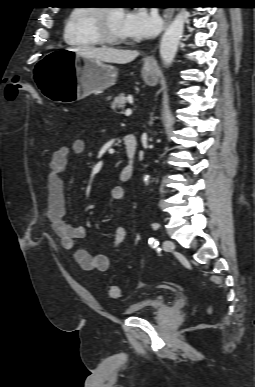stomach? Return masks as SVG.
<instances>
[{
    "label": "stomach",
    "instance_id": "0dacf381",
    "mask_svg": "<svg viewBox=\"0 0 255 387\" xmlns=\"http://www.w3.org/2000/svg\"><path fill=\"white\" fill-rule=\"evenodd\" d=\"M44 59H33L31 82L41 87L45 99L57 104H70L91 93H98L115 84L117 69L104 62L88 59L72 51L70 46H47ZM142 76L148 85L157 83L155 65H143Z\"/></svg>",
    "mask_w": 255,
    "mask_h": 387
}]
</instances>
